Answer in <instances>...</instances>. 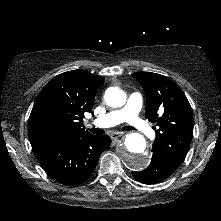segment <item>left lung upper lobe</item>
<instances>
[{
  "instance_id": "left-lung-upper-lobe-1",
  "label": "left lung upper lobe",
  "mask_w": 221,
  "mask_h": 221,
  "mask_svg": "<svg viewBox=\"0 0 221 221\" xmlns=\"http://www.w3.org/2000/svg\"><path fill=\"white\" fill-rule=\"evenodd\" d=\"M146 94L145 116L158 126L152 151L175 169L184 161L193 136V113L183 91L166 76L137 72Z\"/></svg>"
}]
</instances>
